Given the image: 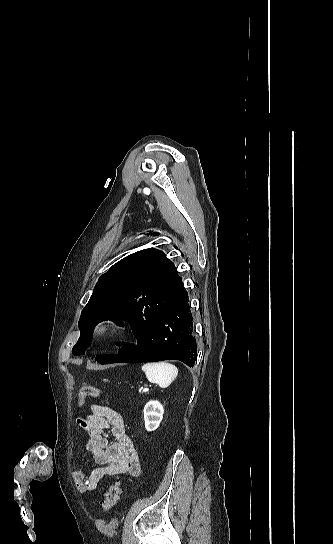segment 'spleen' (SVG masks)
I'll return each instance as SVG.
<instances>
[{
  "label": "spleen",
  "instance_id": "obj_1",
  "mask_svg": "<svg viewBox=\"0 0 333 544\" xmlns=\"http://www.w3.org/2000/svg\"><path fill=\"white\" fill-rule=\"evenodd\" d=\"M146 378L151 383L167 388L177 377L178 369L168 362H149L142 366Z\"/></svg>",
  "mask_w": 333,
  "mask_h": 544
}]
</instances>
